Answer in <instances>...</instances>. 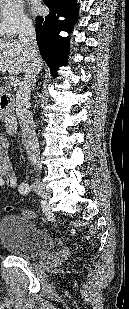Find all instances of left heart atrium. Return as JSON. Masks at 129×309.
<instances>
[{
    "label": "left heart atrium",
    "mask_w": 129,
    "mask_h": 309,
    "mask_svg": "<svg viewBox=\"0 0 129 309\" xmlns=\"http://www.w3.org/2000/svg\"><path fill=\"white\" fill-rule=\"evenodd\" d=\"M37 10H38V8L36 7V8H35V11H37Z\"/></svg>",
    "instance_id": "39dd6f15"
}]
</instances>
